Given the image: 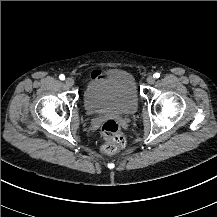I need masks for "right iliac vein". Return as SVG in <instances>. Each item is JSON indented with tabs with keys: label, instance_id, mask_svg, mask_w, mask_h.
Masks as SVG:
<instances>
[{
	"label": "right iliac vein",
	"instance_id": "63e3f726",
	"mask_svg": "<svg viewBox=\"0 0 217 217\" xmlns=\"http://www.w3.org/2000/svg\"><path fill=\"white\" fill-rule=\"evenodd\" d=\"M65 84H66V86L71 87L74 85V80L69 77L65 80Z\"/></svg>",
	"mask_w": 217,
	"mask_h": 217
}]
</instances>
